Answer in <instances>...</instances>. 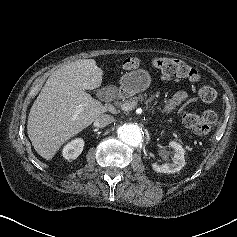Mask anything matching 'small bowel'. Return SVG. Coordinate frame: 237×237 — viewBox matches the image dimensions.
Segmentation results:
<instances>
[{
	"label": "small bowel",
	"instance_id": "c3829d8e",
	"mask_svg": "<svg viewBox=\"0 0 237 237\" xmlns=\"http://www.w3.org/2000/svg\"><path fill=\"white\" fill-rule=\"evenodd\" d=\"M188 99H189L188 92H186L184 90H180V91L176 92L171 99L168 100L164 111L166 113H169L174 108H176L177 106H179V105L183 104L184 102H186Z\"/></svg>",
	"mask_w": 237,
	"mask_h": 237
}]
</instances>
